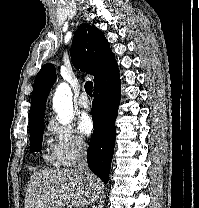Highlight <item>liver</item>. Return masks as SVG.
<instances>
[{
    "mask_svg": "<svg viewBox=\"0 0 199 208\" xmlns=\"http://www.w3.org/2000/svg\"><path fill=\"white\" fill-rule=\"evenodd\" d=\"M102 187L99 178L76 169H39L28 182L25 208H63L68 203L81 208L94 202Z\"/></svg>",
    "mask_w": 199,
    "mask_h": 208,
    "instance_id": "1",
    "label": "liver"
}]
</instances>
